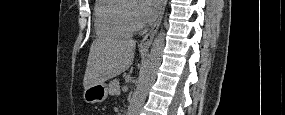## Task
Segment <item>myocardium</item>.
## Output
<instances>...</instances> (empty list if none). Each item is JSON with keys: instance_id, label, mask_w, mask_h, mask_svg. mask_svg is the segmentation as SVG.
<instances>
[{"instance_id": "f54148a6", "label": "myocardium", "mask_w": 285, "mask_h": 115, "mask_svg": "<svg viewBox=\"0 0 285 115\" xmlns=\"http://www.w3.org/2000/svg\"><path fill=\"white\" fill-rule=\"evenodd\" d=\"M126 13H127V17H128L129 22H130V23L133 25V27L135 28V27L137 26L135 14H132V13L129 11V8H128V7H126Z\"/></svg>"}]
</instances>
